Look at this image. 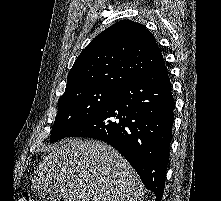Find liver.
Here are the masks:
<instances>
[{"instance_id":"6515ba94","label":"liver","mask_w":221,"mask_h":201,"mask_svg":"<svg viewBox=\"0 0 221 201\" xmlns=\"http://www.w3.org/2000/svg\"><path fill=\"white\" fill-rule=\"evenodd\" d=\"M55 186L64 201H141L143 184L128 161L108 144L72 138L51 148L32 188Z\"/></svg>"}]
</instances>
